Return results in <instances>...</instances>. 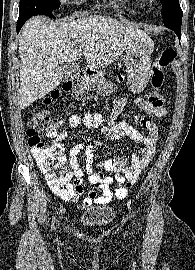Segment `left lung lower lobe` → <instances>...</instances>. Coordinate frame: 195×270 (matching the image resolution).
Returning a JSON list of instances; mask_svg holds the SVG:
<instances>
[{
	"instance_id": "0a47b994",
	"label": "left lung lower lobe",
	"mask_w": 195,
	"mask_h": 270,
	"mask_svg": "<svg viewBox=\"0 0 195 270\" xmlns=\"http://www.w3.org/2000/svg\"><path fill=\"white\" fill-rule=\"evenodd\" d=\"M176 34H177V36H178V38H179V40H180V38H181V29L180 30H173Z\"/></svg>"
}]
</instances>
